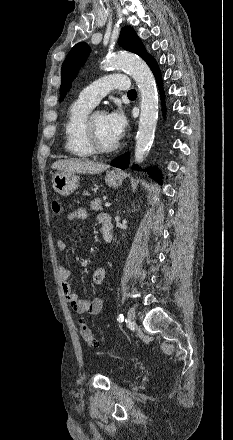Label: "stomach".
Instances as JSON below:
<instances>
[{"label":"stomach","instance_id":"obj_1","mask_svg":"<svg viewBox=\"0 0 233 440\" xmlns=\"http://www.w3.org/2000/svg\"><path fill=\"white\" fill-rule=\"evenodd\" d=\"M122 181L123 175L115 170L107 172L105 176V182L110 187H118ZM52 184L55 192L62 196H68L77 189L79 176L75 173L58 172L53 176Z\"/></svg>","mask_w":233,"mask_h":440}]
</instances>
